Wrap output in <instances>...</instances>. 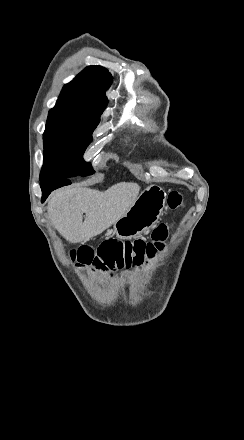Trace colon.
Listing matches in <instances>:
<instances>
[{"label":"colon","mask_w":244,"mask_h":440,"mask_svg":"<svg viewBox=\"0 0 244 440\" xmlns=\"http://www.w3.org/2000/svg\"><path fill=\"white\" fill-rule=\"evenodd\" d=\"M167 204L171 211H177L183 206L182 194L172 191L167 197ZM168 226H157L150 240L136 239L134 241H105L99 245L94 253L93 248H73L71 254L78 257V271H89L93 262L97 270H101L107 277L119 270H129L133 267L145 266L162 248V241L167 238Z\"/></svg>","instance_id":"1"}]
</instances>
